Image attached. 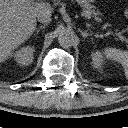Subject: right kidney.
Here are the masks:
<instances>
[{
	"label": "right kidney",
	"instance_id": "1",
	"mask_svg": "<svg viewBox=\"0 0 128 128\" xmlns=\"http://www.w3.org/2000/svg\"><path fill=\"white\" fill-rule=\"evenodd\" d=\"M35 48L33 46H24L14 53V60L20 66H27L32 63Z\"/></svg>",
	"mask_w": 128,
	"mask_h": 128
}]
</instances>
